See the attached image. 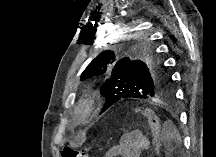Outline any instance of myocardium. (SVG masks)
<instances>
[{
    "label": "myocardium",
    "instance_id": "obj_1",
    "mask_svg": "<svg viewBox=\"0 0 216 157\" xmlns=\"http://www.w3.org/2000/svg\"><path fill=\"white\" fill-rule=\"evenodd\" d=\"M97 100L95 96H89L85 99L79 109L77 110L76 116L80 123H87L91 117L96 113Z\"/></svg>",
    "mask_w": 216,
    "mask_h": 157
}]
</instances>
